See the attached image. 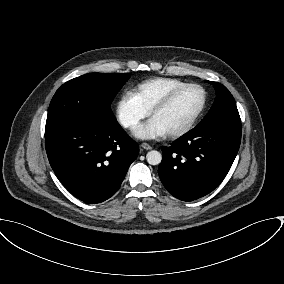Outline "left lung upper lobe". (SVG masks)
<instances>
[{
	"label": "left lung upper lobe",
	"mask_w": 284,
	"mask_h": 284,
	"mask_svg": "<svg viewBox=\"0 0 284 284\" xmlns=\"http://www.w3.org/2000/svg\"><path fill=\"white\" fill-rule=\"evenodd\" d=\"M209 83L213 84L215 88L216 99L212 108L199 123V125H204L219 120H240L236 103L228 89L218 82Z\"/></svg>",
	"instance_id": "5c2ea615"
}]
</instances>
